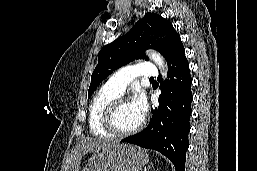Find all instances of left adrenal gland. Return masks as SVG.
I'll use <instances>...</instances> for the list:
<instances>
[{
    "mask_svg": "<svg viewBox=\"0 0 257 171\" xmlns=\"http://www.w3.org/2000/svg\"><path fill=\"white\" fill-rule=\"evenodd\" d=\"M152 166H153V164H150V165L148 166V168H145L144 171H148Z\"/></svg>",
    "mask_w": 257,
    "mask_h": 171,
    "instance_id": "left-adrenal-gland-1",
    "label": "left adrenal gland"
}]
</instances>
